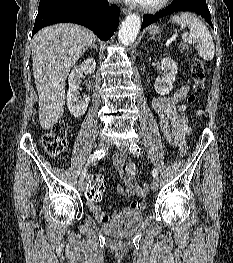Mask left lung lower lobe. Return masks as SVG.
<instances>
[{"instance_id": "left-lung-lower-lobe-1", "label": "left lung lower lobe", "mask_w": 233, "mask_h": 263, "mask_svg": "<svg viewBox=\"0 0 233 263\" xmlns=\"http://www.w3.org/2000/svg\"><path fill=\"white\" fill-rule=\"evenodd\" d=\"M179 11L195 12L205 18L209 25L213 27L206 0H174L171 5L156 15H144L141 30L159 18Z\"/></svg>"}]
</instances>
